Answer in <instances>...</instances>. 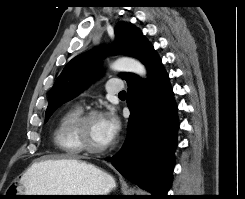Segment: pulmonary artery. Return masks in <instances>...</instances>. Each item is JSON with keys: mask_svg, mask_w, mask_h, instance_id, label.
Masks as SVG:
<instances>
[{"mask_svg": "<svg viewBox=\"0 0 245 199\" xmlns=\"http://www.w3.org/2000/svg\"><path fill=\"white\" fill-rule=\"evenodd\" d=\"M124 85L121 80L111 79L106 83L107 94H117L123 91Z\"/></svg>", "mask_w": 245, "mask_h": 199, "instance_id": "obj_1", "label": "pulmonary artery"}]
</instances>
